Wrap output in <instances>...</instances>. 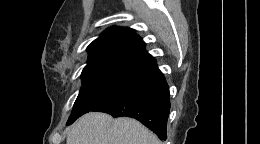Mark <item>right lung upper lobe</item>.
I'll return each mask as SVG.
<instances>
[{
    "mask_svg": "<svg viewBox=\"0 0 260 144\" xmlns=\"http://www.w3.org/2000/svg\"><path fill=\"white\" fill-rule=\"evenodd\" d=\"M144 47L145 43L133 29L108 28L88 46L84 69L101 67L138 72L156 63Z\"/></svg>",
    "mask_w": 260,
    "mask_h": 144,
    "instance_id": "1",
    "label": "right lung upper lobe"
}]
</instances>
